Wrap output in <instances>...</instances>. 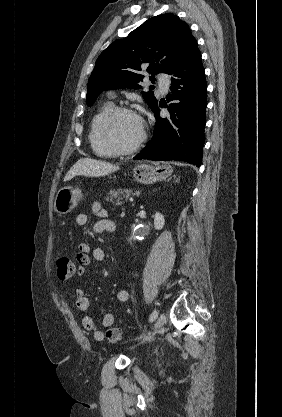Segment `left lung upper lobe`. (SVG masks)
<instances>
[{
	"label": "left lung upper lobe",
	"instance_id": "5c2ea615",
	"mask_svg": "<svg viewBox=\"0 0 282 417\" xmlns=\"http://www.w3.org/2000/svg\"><path fill=\"white\" fill-rule=\"evenodd\" d=\"M195 38L188 24L172 13L145 21L127 37L114 41L98 57L87 87V105L91 106L102 91L119 88H140L137 85L145 70L154 75L167 73L183 49ZM152 109L157 99L153 91L142 92Z\"/></svg>",
	"mask_w": 282,
	"mask_h": 417
}]
</instances>
